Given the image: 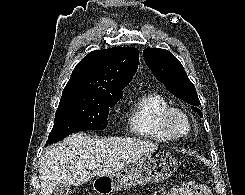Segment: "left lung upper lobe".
<instances>
[{"instance_id":"1","label":"left lung upper lobe","mask_w":245,"mask_h":195,"mask_svg":"<svg viewBox=\"0 0 245 195\" xmlns=\"http://www.w3.org/2000/svg\"><path fill=\"white\" fill-rule=\"evenodd\" d=\"M143 56L156 79L162 82L172 94L189 104L202 117L203 115L198 109L200 101L196 89L179 60L171 52L158 48L144 49Z\"/></svg>"}]
</instances>
